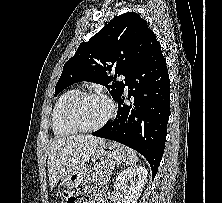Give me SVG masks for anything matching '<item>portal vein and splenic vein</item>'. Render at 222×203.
Instances as JSON below:
<instances>
[{
  "instance_id": "portal-vein-and-splenic-vein-1",
  "label": "portal vein and splenic vein",
  "mask_w": 222,
  "mask_h": 203,
  "mask_svg": "<svg viewBox=\"0 0 222 203\" xmlns=\"http://www.w3.org/2000/svg\"><path fill=\"white\" fill-rule=\"evenodd\" d=\"M111 166L114 167V166H115V163H111Z\"/></svg>"
}]
</instances>
